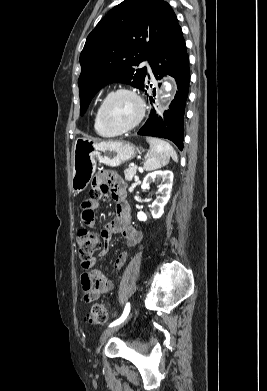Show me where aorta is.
Returning <instances> with one entry per match:
<instances>
[{
	"mask_svg": "<svg viewBox=\"0 0 267 391\" xmlns=\"http://www.w3.org/2000/svg\"><path fill=\"white\" fill-rule=\"evenodd\" d=\"M164 88H165L166 92H169L172 88V85L170 83L166 82V83H164ZM167 96H169V94Z\"/></svg>",
	"mask_w": 267,
	"mask_h": 391,
	"instance_id": "1",
	"label": "aorta"
}]
</instances>
